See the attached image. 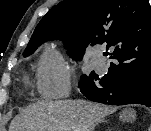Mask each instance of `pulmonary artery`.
<instances>
[{"mask_svg":"<svg viewBox=\"0 0 151 131\" xmlns=\"http://www.w3.org/2000/svg\"><path fill=\"white\" fill-rule=\"evenodd\" d=\"M98 67H99V68H103V67H104L103 63L98 62Z\"/></svg>","mask_w":151,"mask_h":131,"instance_id":"1","label":"pulmonary artery"}]
</instances>
